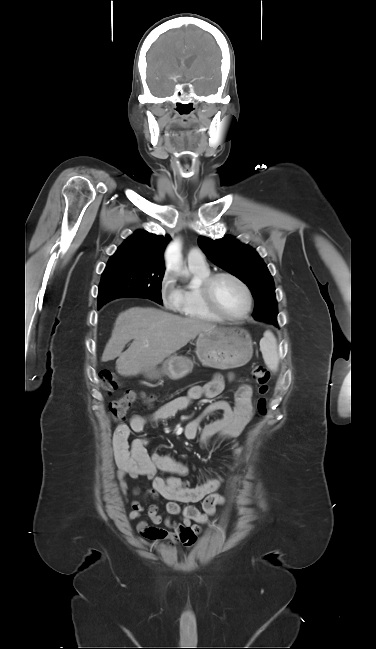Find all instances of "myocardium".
Returning a JSON list of instances; mask_svg holds the SVG:
<instances>
[{"mask_svg": "<svg viewBox=\"0 0 376 649\" xmlns=\"http://www.w3.org/2000/svg\"><path fill=\"white\" fill-rule=\"evenodd\" d=\"M227 277L232 280H234L244 291L245 296H246V308L245 311L239 315V316H230L226 314L216 303L215 298H214V286L215 283L217 282L218 279ZM201 296L204 301L205 306L216 316L219 318L226 320V321H231V322H239L245 320L249 315L252 310V305H253V296L251 289L247 285V283L240 278L238 275L229 272V271H221V272H216L210 274L208 277H206L202 283H201Z\"/></svg>", "mask_w": 376, "mask_h": 649, "instance_id": "f54148a6", "label": "myocardium"}]
</instances>
